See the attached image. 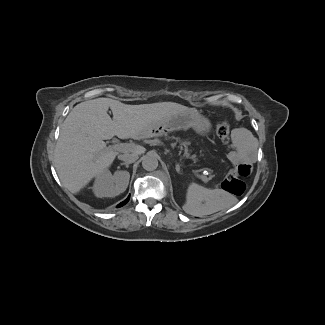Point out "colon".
<instances>
[{
	"label": "colon",
	"mask_w": 325,
	"mask_h": 325,
	"mask_svg": "<svg viewBox=\"0 0 325 325\" xmlns=\"http://www.w3.org/2000/svg\"><path fill=\"white\" fill-rule=\"evenodd\" d=\"M216 134L223 143H228L230 139V129L227 123H218L215 127ZM250 174V167L242 164L231 170L224 178L222 188L234 195H241L245 190L244 178Z\"/></svg>",
	"instance_id": "colon-1"
}]
</instances>
